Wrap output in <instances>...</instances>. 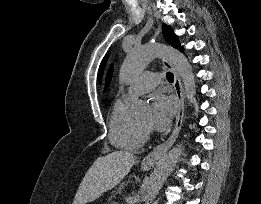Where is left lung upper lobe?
Returning a JSON list of instances; mask_svg holds the SVG:
<instances>
[{"label":"left lung upper lobe","instance_id":"5c2ea615","mask_svg":"<svg viewBox=\"0 0 261 204\" xmlns=\"http://www.w3.org/2000/svg\"><path fill=\"white\" fill-rule=\"evenodd\" d=\"M163 36H164L165 40L170 45H172L174 48H179V49L183 48V47L180 46L178 37H177L176 34H174L173 29L170 26L166 25V24L163 25ZM108 56H109V53L105 55V57L103 58V60H102V62L100 64L99 72H98V81H99V83L101 82V77H102V74H103V71H104V68H105Z\"/></svg>","mask_w":261,"mask_h":204}]
</instances>
